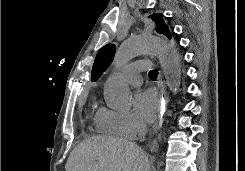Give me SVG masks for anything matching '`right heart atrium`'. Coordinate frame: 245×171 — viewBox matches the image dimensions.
<instances>
[{
	"mask_svg": "<svg viewBox=\"0 0 245 171\" xmlns=\"http://www.w3.org/2000/svg\"><path fill=\"white\" fill-rule=\"evenodd\" d=\"M96 125L102 133L129 139L134 138L143 128L142 122L133 114L106 108L98 111Z\"/></svg>",
	"mask_w": 245,
	"mask_h": 171,
	"instance_id": "right-heart-atrium-1",
	"label": "right heart atrium"
}]
</instances>
